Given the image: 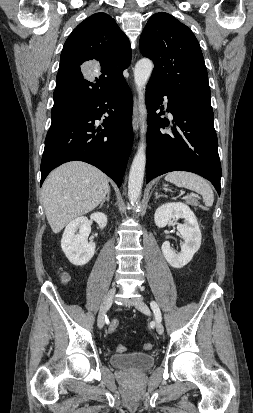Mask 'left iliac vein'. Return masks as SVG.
Instances as JSON below:
<instances>
[{
  "label": "left iliac vein",
  "mask_w": 253,
  "mask_h": 413,
  "mask_svg": "<svg viewBox=\"0 0 253 413\" xmlns=\"http://www.w3.org/2000/svg\"><path fill=\"white\" fill-rule=\"evenodd\" d=\"M134 306L141 312L145 313V314H150V310L149 307L147 306V304L140 298H137L134 301ZM155 327H156V331L158 334H163L164 332V327L163 324L161 322V320L156 319L155 320Z\"/></svg>",
  "instance_id": "obj_1"
}]
</instances>
